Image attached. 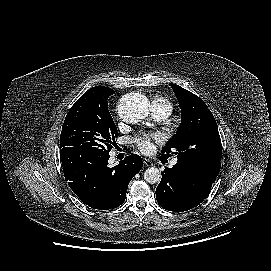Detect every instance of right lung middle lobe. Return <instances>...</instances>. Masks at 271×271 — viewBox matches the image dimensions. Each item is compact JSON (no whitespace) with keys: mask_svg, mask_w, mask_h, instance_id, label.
Instances as JSON below:
<instances>
[{"mask_svg":"<svg viewBox=\"0 0 271 271\" xmlns=\"http://www.w3.org/2000/svg\"><path fill=\"white\" fill-rule=\"evenodd\" d=\"M111 88L95 86L70 108L60 136V148L70 146L109 153L116 146L118 131L108 110Z\"/></svg>","mask_w":271,"mask_h":271,"instance_id":"obj_1","label":"right lung middle lobe"}]
</instances>
